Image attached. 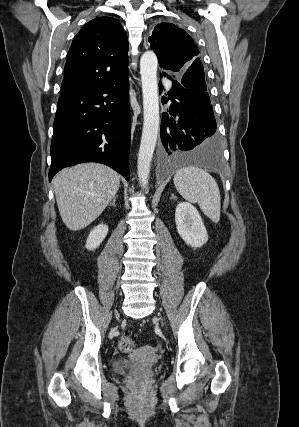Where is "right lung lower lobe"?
I'll return each mask as SVG.
<instances>
[{"label": "right lung lower lobe", "mask_w": 299, "mask_h": 427, "mask_svg": "<svg viewBox=\"0 0 299 427\" xmlns=\"http://www.w3.org/2000/svg\"><path fill=\"white\" fill-rule=\"evenodd\" d=\"M49 181L61 169L99 162L129 179L128 70L103 83L61 96L53 124Z\"/></svg>", "instance_id": "obj_1"}]
</instances>
